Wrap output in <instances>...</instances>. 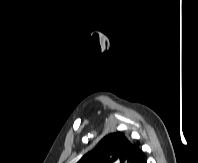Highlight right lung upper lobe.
<instances>
[{
  "label": "right lung upper lobe",
  "instance_id": "cb5924a9",
  "mask_svg": "<svg viewBox=\"0 0 198 163\" xmlns=\"http://www.w3.org/2000/svg\"><path fill=\"white\" fill-rule=\"evenodd\" d=\"M77 163H146L141 150L121 132L106 135Z\"/></svg>",
  "mask_w": 198,
  "mask_h": 163
}]
</instances>
